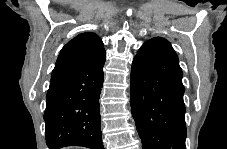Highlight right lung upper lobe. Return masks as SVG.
Instances as JSON below:
<instances>
[{
  "label": "right lung upper lobe",
  "instance_id": "right-lung-upper-lobe-1",
  "mask_svg": "<svg viewBox=\"0 0 227 149\" xmlns=\"http://www.w3.org/2000/svg\"><path fill=\"white\" fill-rule=\"evenodd\" d=\"M102 40L92 32L77 35L60 51L51 78L89 67L105 59Z\"/></svg>",
  "mask_w": 227,
  "mask_h": 149
}]
</instances>
